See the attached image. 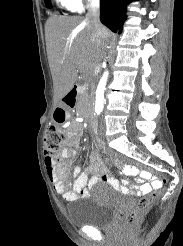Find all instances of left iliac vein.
<instances>
[{"label": "left iliac vein", "mask_w": 183, "mask_h": 246, "mask_svg": "<svg viewBox=\"0 0 183 246\" xmlns=\"http://www.w3.org/2000/svg\"><path fill=\"white\" fill-rule=\"evenodd\" d=\"M105 131H106L105 122L102 121L101 128H100V134H101L102 136H104Z\"/></svg>", "instance_id": "4c4485c4"}]
</instances>
